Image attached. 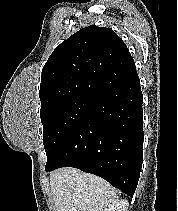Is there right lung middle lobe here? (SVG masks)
I'll list each match as a JSON object with an SVG mask.
<instances>
[{"label": "right lung middle lobe", "mask_w": 178, "mask_h": 211, "mask_svg": "<svg viewBox=\"0 0 178 211\" xmlns=\"http://www.w3.org/2000/svg\"><path fill=\"white\" fill-rule=\"evenodd\" d=\"M96 101L97 99L92 98H75L53 104L40 111L47 158L83 120Z\"/></svg>", "instance_id": "dd1d6c3e"}]
</instances>
